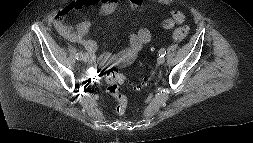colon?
I'll use <instances>...</instances> for the list:
<instances>
[{"label":"colon","mask_w":253,"mask_h":143,"mask_svg":"<svg viewBox=\"0 0 253 143\" xmlns=\"http://www.w3.org/2000/svg\"><path fill=\"white\" fill-rule=\"evenodd\" d=\"M188 33L187 28H177L171 33V38L175 41H182L186 38ZM136 55L128 56L121 61H117L112 57L104 56L99 60V66L104 70L101 72V79L107 84V93L111 99L116 103V112L123 114L126 111L128 100L122 93L120 85L126 81L123 73L111 69L112 66H126L130 64ZM149 85V79L144 78L138 84H130L133 90H141Z\"/></svg>","instance_id":"1"}]
</instances>
